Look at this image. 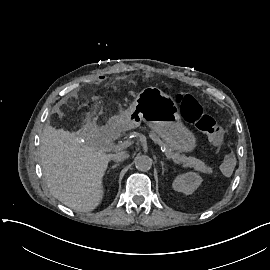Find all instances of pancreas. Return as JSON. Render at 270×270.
<instances>
[{"instance_id": "pancreas-1", "label": "pancreas", "mask_w": 270, "mask_h": 270, "mask_svg": "<svg viewBox=\"0 0 270 270\" xmlns=\"http://www.w3.org/2000/svg\"><path fill=\"white\" fill-rule=\"evenodd\" d=\"M150 137L154 141L155 144L160 145V146H164L162 141L159 138H157L153 132L150 133ZM166 155L169 158L175 157L176 160L180 161V163L183 162L185 164V166L193 167L198 172H202V173H206V174H211L213 172L212 168L208 167L203 161H201L199 159L187 157L184 155L178 156V155H175L169 151H166Z\"/></svg>"}]
</instances>
